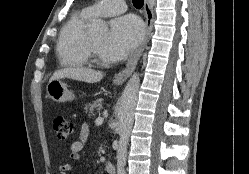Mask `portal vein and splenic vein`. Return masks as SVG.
Masks as SVG:
<instances>
[{"label": "portal vein and splenic vein", "instance_id": "obj_1", "mask_svg": "<svg viewBox=\"0 0 249 174\" xmlns=\"http://www.w3.org/2000/svg\"><path fill=\"white\" fill-rule=\"evenodd\" d=\"M104 121V118L103 117H98L96 120H95V124L96 125H101Z\"/></svg>", "mask_w": 249, "mask_h": 174}]
</instances>
